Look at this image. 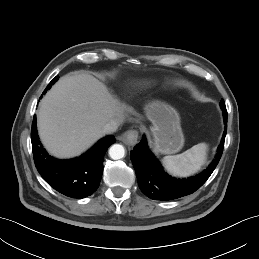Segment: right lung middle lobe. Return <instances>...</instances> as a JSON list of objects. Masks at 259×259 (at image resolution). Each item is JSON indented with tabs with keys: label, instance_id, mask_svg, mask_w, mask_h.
Here are the masks:
<instances>
[{
	"label": "right lung middle lobe",
	"instance_id": "dd1d6c3e",
	"mask_svg": "<svg viewBox=\"0 0 259 259\" xmlns=\"http://www.w3.org/2000/svg\"><path fill=\"white\" fill-rule=\"evenodd\" d=\"M59 79L58 76H56L55 78H53L50 82V84L47 86V88L44 90L43 93H45L48 89H50L51 85L54 84L57 80Z\"/></svg>",
	"mask_w": 259,
	"mask_h": 259
}]
</instances>
